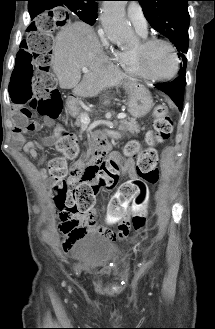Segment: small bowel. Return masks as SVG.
Listing matches in <instances>:
<instances>
[{
	"label": "small bowel",
	"instance_id": "obj_1",
	"mask_svg": "<svg viewBox=\"0 0 215 329\" xmlns=\"http://www.w3.org/2000/svg\"><path fill=\"white\" fill-rule=\"evenodd\" d=\"M18 146L25 153L37 159L42 155L43 149L51 147L55 144L57 137H42L38 141H27L23 134L27 132L25 127H17L15 129ZM94 142L91 143V146ZM86 160L82 158L78 160L71 170H79L85 167ZM123 173L128 175L126 182H120L117 192L111 201L103 206V215H108V223L111 227H118L117 232L104 227L98 222L96 211L92 210L87 216L73 217L62 220L60 229L66 234L63 242L64 251L73 248L74 243L88 232L101 233L115 240H123L129 234L130 218H149L150 212L146 199L150 198L151 187L147 182H143V178H136L135 164L133 160L125 162ZM69 180L72 182L73 177ZM111 202V203H110ZM132 208V211H131ZM60 216V215H59Z\"/></svg>",
	"mask_w": 215,
	"mask_h": 329
}]
</instances>
